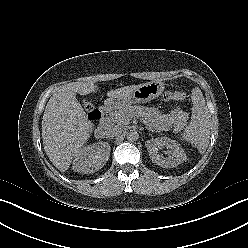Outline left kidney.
<instances>
[{"instance_id": "left-kidney-1", "label": "left kidney", "mask_w": 248, "mask_h": 248, "mask_svg": "<svg viewBox=\"0 0 248 248\" xmlns=\"http://www.w3.org/2000/svg\"><path fill=\"white\" fill-rule=\"evenodd\" d=\"M153 163L163 168H173L186 161V154L178 143L167 137L155 138L145 143ZM160 148L169 149L168 157L159 154Z\"/></svg>"}]
</instances>
